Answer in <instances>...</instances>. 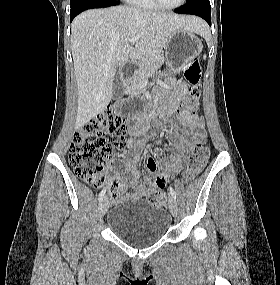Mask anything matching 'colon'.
Returning a JSON list of instances; mask_svg holds the SVG:
<instances>
[{
  "label": "colon",
  "mask_w": 280,
  "mask_h": 285,
  "mask_svg": "<svg viewBox=\"0 0 280 285\" xmlns=\"http://www.w3.org/2000/svg\"><path fill=\"white\" fill-rule=\"evenodd\" d=\"M184 79L188 90L181 104L183 110L195 113L200 105L202 94V70L198 59L191 60L185 67ZM126 126L122 117L114 110L97 115L77 129L69 152V162L80 180L98 187L106 180L103 164L112 159L117 151L125 146ZM209 156V149L204 140H195L191 147L183 180H194L204 169ZM116 183L111 184L115 195ZM166 196L161 192L148 195L152 204H162Z\"/></svg>",
  "instance_id": "obj_1"
}]
</instances>
